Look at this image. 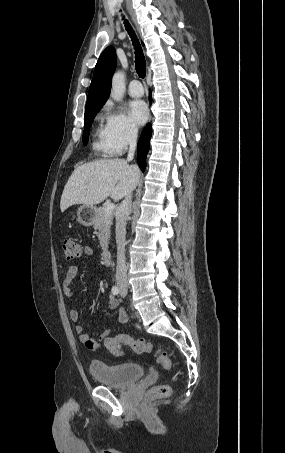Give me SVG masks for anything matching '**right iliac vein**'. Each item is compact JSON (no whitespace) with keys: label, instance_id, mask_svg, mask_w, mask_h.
Wrapping results in <instances>:
<instances>
[{"label":"right iliac vein","instance_id":"right-iliac-vein-1","mask_svg":"<svg viewBox=\"0 0 285 453\" xmlns=\"http://www.w3.org/2000/svg\"><path fill=\"white\" fill-rule=\"evenodd\" d=\"M119 285H120V288H122V289L126 288V285L123 284V283H121V284H119Z\"/></svg>","mask_w":285,"mask_h":453}]
</instances>
